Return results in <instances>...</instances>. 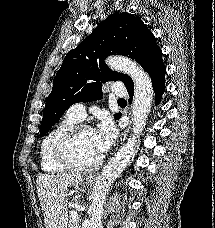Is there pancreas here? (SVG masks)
Segmentation results:
<instances>
[{"label": "pancreas", "instance_id": "pancreas-1", "mask_svg": "<svg viewBox=\"0 0 215 228\" xmlns=\"http://www.w3.org/2000/svg\"><path fill=\"white\" fill-rule=\"evenodd\" d=\"M68 228H79L78 222H74V220H71V218H70V220L68 222Z\"/></svg>", "mask_w": 215, "mask_h": 228}]
</instances>
